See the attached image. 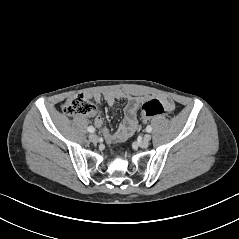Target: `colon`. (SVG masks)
<instances>
[{
  "label": "colon",
  "instance_id": "obj_1",
  "mask_svg": "<svg viewBox=\"0 0 239 239\" xmlns=\"http://www.w3.org/2000/svg\"><path fill=\"white\" fill-rule=\"evenodd\" d=\"M63 112L69 116L89 115L94 111V106L89 98L83 94H76L67 98L63 105ZM144 122L155 116L165 115L164 105L157 99L145 102L140 110Z\"/></svg>",
  "mask_w": 239,
  "mask_h": 239
}]
</instances>
